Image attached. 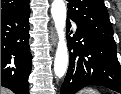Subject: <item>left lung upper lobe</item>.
Returning a JSON list of instances; mask_svg holds the SVG:
<instances>
[{
	"label": "left lung upper lobe",
	"mask_w": 121,
	"mask_h": 94,
	"mask_svg": "<svg viewBox=\"0 0 121 94\" xmlns=\"http://www.w3.org/2000/svg\"><path fill=\"white\" fill-rule=\"evenodd\" d=\"M67 17L78 26L113 35V28L109 20L103 0H67Z\"/></svg>",
	"instance_id": "5c2ea615"
}]
</instances>
